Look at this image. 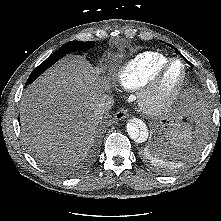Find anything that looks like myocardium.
Returning a JSON list of instances; mask_svg holds the SVG:
<instances>
[{
	"label": "myocardium",
	"mask_w": 221,
	"mask_h": 221,
	"mask_svg": "<svg viewBox=\"0 0 221 221\" xmlns=\"http://www.w3.org/2000/svg\"><path fill=\"white\" fill-rule=\"evenodd\" d=\"M180 64L182 75L178 86L168 94H162V87L167 73L174 64ZM187 83V67L180 59L169 60L153 77V79L143 88L139 96V106L141 110L150 115L160 114L168 110L180 97Z\"/></svg>",
	"instance_id": "myocardium-1"
}]
</instances>
